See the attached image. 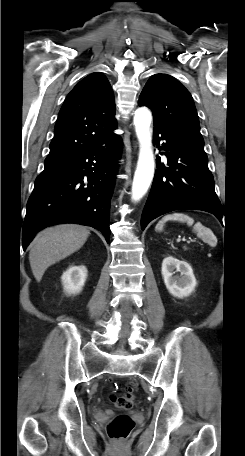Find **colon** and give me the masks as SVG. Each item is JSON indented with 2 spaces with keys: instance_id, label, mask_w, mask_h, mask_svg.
I'll list each match as a JSON object with an SVG mask.
<instances>
[{
  "instance_id": "obj_1",
  "label": "colon",
  "mask_w": 245,
  "mask_h": 456,
  "mask_svg": "<svg viewBox=\"0 0 245 456\" xmlns=\"http://www.w3.org/2000/svg\"><path fill=\"white\" fill-rule=\"evenodd\" d=\"M134 388L135 385L131 383L121 394H118L115 391L111 392L109 398L116 407L125 410L130 409L135 404ZM133 426L134 422L129 416L118 415L108 424L107 433L109 437L114 440H124L131 432Z\"/></svg>"
}]
</instances>
